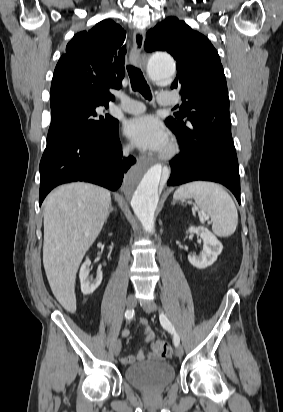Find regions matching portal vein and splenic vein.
I'll return each instance as SVG.
<instances>
[{"label":"portal vein and splenic vein","instance_id":"portal-vein-and-splenic-vein-1","mask_svg":"<svg viewBox=\"0 0 283 412\" xmlns=\"http://www.w3.org/2000/svg\"><path fill=\"white\" fill-rule=\"evenodd\" d=\"M203 218H204V220H207V219H208V216H203Z\"/></svg>","mask_w":283,"mask_h":412}]
</instances>
